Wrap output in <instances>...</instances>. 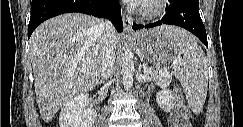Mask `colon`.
Listing matches in <instances>:
<instances>
[{"label": "colon", "instance_id": "obj_1", "mask_svg": "<svg viewBox=\"0 0 243 127\" xmlns=\"http://www.w3.org/2000/svg\"><path fill=\"white\" fill-rule=\"evenodd\" d=\"M191 112L187 106L181 102H177L174 112L171 115L170 121L173 127H190Z\"/></svg>", "mask_w": 243, "mask_h": 127}]
</instances>
